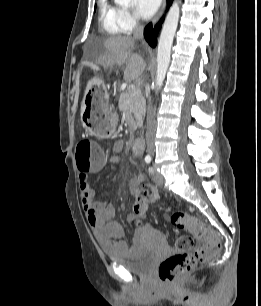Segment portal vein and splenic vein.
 Returning a JSON list of instances; mask_svg holds the SVG:
<instances>
[{"label":"portal vein and splenic vein","instance_id":"18ae733b","mask_svg":"<svg viewBox=\"0 0 261 306\" xmlns=\"http://www.w3.org/2000/svg\"><path fill=\"white\" fill-rule=\"evenodd\" d=\"M128 88L135 94L138 92L137 88L135 85H129Z\"/></svg>","mask_w":261,"mask_h":306}]
</instances>
